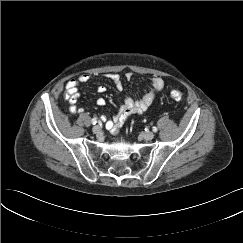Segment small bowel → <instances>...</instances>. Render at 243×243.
I'll return each mask as SVG.
<instances>
[{
    "label": "small bowel",
    "mask_w": 243,
    "mask_h": 243,
    "mask_svg": "<svg viewBox=\"0 0 243 243\" xmlns=\"http://www.w3.org/2000/svg\"><path fill=\"white\" fill-rule=\"evenodd\" d=\"M107 77L114 83L117 90H123V82L119 75L107 74ZM126 77L130 78L131 74H127ZM90 78L91 76L89 74H82L77 78L70 79L65 85L71 110L75 113H82L84 111L83 108L76 107V102L80 95L79 85L88 82ZM147 87L148 91L138 99H134L130 96L125 97L123 104L120 106L116 114L107 122L106 126L112 134H118L124 121L132 114L141 115L152 104L156 94L162 90L164 82L159 77H153L148 81ZM97 91L99 93H104L106 87L100 85L97 87ZM96 103L99 106H103L106 102L104 98H98Z\"/></svg>",
    "instance_id": "1"
}]
</instances>
